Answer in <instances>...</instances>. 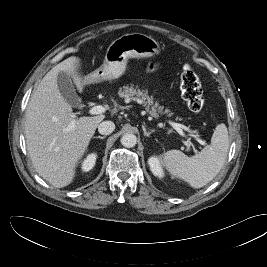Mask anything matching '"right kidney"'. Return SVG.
<instances>
[{"label":"right kidney","instance_id":"right-kidney-1","mask_svg":"<svg viewBox=\"0 0 267 267\" xmlns=\"http://www.w3.org/2000/svg\"><path fill=\"white\" fill-rule=\"evenodd\" d=\"M97 155L95 153L89 154L82 164V170L84 172L90 171L96 162Z\"/></svg>","mask_w":267,"mask_h":267}]
</instances>
